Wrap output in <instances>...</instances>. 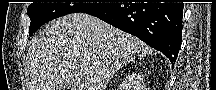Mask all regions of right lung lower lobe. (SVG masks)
<instances>
[{
    "instance_id": "obj_1",
    "label": "right lung lower lobe",
    "mask_w": 216,
    "mask_h": 90,
    "mask_svg": "<svg viewBox=\"0 0 216 90\" xmlns=\"http://www.w3.org/2000/svg\"><path fill=\"white\" fill-rule=\"evenodd\" d=\"M183 3H106L87 13L135 35L174 63L182 41Z\"/></svg>"
}]
</instances>
